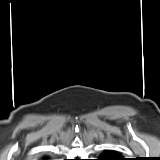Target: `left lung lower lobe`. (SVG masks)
<instances>
[{"label": "left lung lower lobe", "mask_w": 160, "mask_h": 160, "mask_svg": "<svg viewBox=\"0 0 160 160\" xmlns=\"http://www.w3.org/2000/svg\"><path fill=\"white\" fill-rule=\"evenodd\" d=\"M99 160H124V158H121L115 151H106Z\"/></svg>", "instance_id": "0a47b994"}]
</instances>
